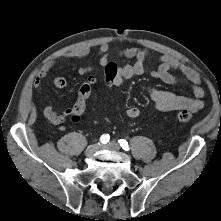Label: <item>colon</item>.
<instances>
[{"label":"colon","mask_w":221,"mask_h":221,"mask_svg":"<svg viewBox=\"0 0 221 221\" xmlns=\"http://www.w3.org/2000/svg\"><path fill=\"white\" fill-rule=\"evenodd\" d=\"M120 66L117 61L111 60L106 63L105 69L101 71L100 84L103 88L108 89L116 80V74L119 72ZM93 77H88L78 90L77 99L73 106L74 113L71 117L73 121H78L86 109L87 100L91 94ZM176 120L182 123L190 122L193 119L191 112L187 110L180 111L175 116Z\"/></svg>","instance_id":"colon-1"}]
</instances>
